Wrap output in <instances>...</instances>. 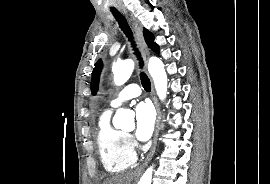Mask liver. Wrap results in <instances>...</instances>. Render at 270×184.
<instances>
[{
    "label": "liver",
    "mask_w": 270,
    "mask_h": 184,
    "mask_svg": "<svg viewBox=\"0 0 270 184\" xmlns=\"http://www.w3.org/2000/svg\"><path fill=\"white\" fill-rule=\"evenodd\" d=\"M133 175L127 174L123 176H115L106 179L103 184H130V181L132 180Z\"/></svg>",
    "instance_id": "liver-1"
}]
</instances>
